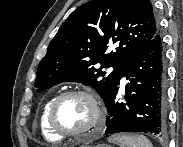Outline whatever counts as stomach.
<instances>
[{
    "label": "stomach",
    "instance_id": "1",
    "mask_svg": "<svg viewBox=\"0 0 183 147\" xmlns=\"http://www.w3.org/2000/svg\"><path fill=\"white\" fill-rule=\"evenodd\" d=\"M95 147H110V146L106 144H97Z\"/></svg>",
    "mask_w": 183,
    "mask_h": 147
}]
</instances>
